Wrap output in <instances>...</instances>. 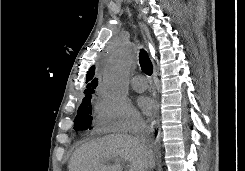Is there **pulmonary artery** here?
<instances>
[{
    "instance_id": "e3ab8cb5",
    "label": "pulmonary artery",
    "mask_w": 245,
    "mask_h": 171,
    "mask_svg": "<svg viewBox=\"0 0 245 171\" xmlns=\"http://www.w3.org/2000/svg\"><path fill=\"white\" fill-rule=\"evenodd\" d=\"M132 88L137 92H143L147 88L146 79L142 75H136L131 80Z\"/></svg>"
}]
</instances>
